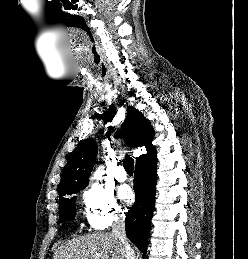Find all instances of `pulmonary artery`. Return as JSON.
I'll use <instances>...</instances> for the list:
<instances>
[{"mask_svg":"<svg viewBox=\"0 0 248 259\" xmlns=\"http://www.w3.org/2000/svg\"><path fill=\"white\" fill-rule=\"evenodd\" d=\"M115 178L118 182H125L127 180V174L123 166H118Z\"/></svg>","mask_w":248,"mask_h":259,"instance_id":"e3ab8cb5","label":"pulmonary artery"}]
</instances>
